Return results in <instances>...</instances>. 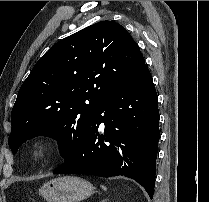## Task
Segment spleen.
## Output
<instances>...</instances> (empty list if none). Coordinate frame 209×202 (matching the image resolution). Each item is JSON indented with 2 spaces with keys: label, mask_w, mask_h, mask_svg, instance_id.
I'll return each mask as SVG.
<instances>
[{
  "label": "spleen",
  "mask_w": 209,
  "mask_h": 202,
  "mask_svg": "<svg viewBox=\"0 0 209 202\" xmlns=\"http://www.w3.org/2000/svg\"><path fill=\"white\" fill-rule=\"evenodd\" d=\"M101 187H102L103 190H106V187L105 186L102 185Z\"/></svg>",
  "instance_id": "1"
}]
</instances>
